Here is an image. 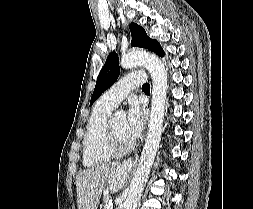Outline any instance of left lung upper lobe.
<instances>
[{"label": "left lung upper lobe", "instance_id": "left-lung-upper-lobe-1", "mask_svg": "<svg viewBox=\"0 0 253 209\" xmlns=\"http://www.w3.org/2000/svg\"><path fill=\"white\" fill-rule=\"evenodd\" d=\"M130 31L132 35V46L146 48L155 52L161 57L164 56V51L159 42L157 40L150 39L141 26L131 23ZM119 73L120 67L118 55L115 52H112L107 57L106 62L97 78L96 86L91 97V105L117 80Z\"/></svg>", "mask_w": 253, "mask_h": 209}]
</instances>
